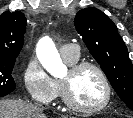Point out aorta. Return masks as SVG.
<instances>
[{
  "label": "aorta",
  "instance_id": "762f6f07",
  "mask_svg": "<svg viewBox=\"0 0 133 118\" xmlns=\"http://www.w3.org/2000/svg\"><path fill=\"white\" fill-rule=\"evenodd\" d=\"M38 59L43 67L54 77L62 75L66 70L53 41L49 38L43 40V46L38 52Z\"/></svg>",
  "mask_w": 133,
  "mask_h": 118
}]
</instances>
